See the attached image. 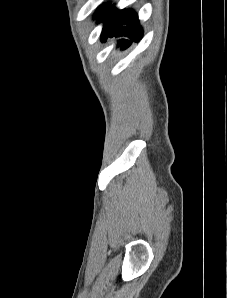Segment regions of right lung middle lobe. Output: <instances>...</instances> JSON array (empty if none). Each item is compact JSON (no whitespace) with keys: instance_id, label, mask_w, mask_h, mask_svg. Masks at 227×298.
I'll list each match as a JSON object with an SVG mask.
<instances>
[{"instance_id":"obj_1","label":"right lung middle lobe","mask_w":227,"mask_h":298,"mask_svg":"<svg viewBox=\"0 0 227 298\" xmlns=\"http://www.w3.org/2000/svg\"><path fill=\"white\" fill-rule=\"evenodd\" d=\"M107 8V5L102 6L95 14V18L98 17L105 9Z\"/></svg>"}]
</instances>
